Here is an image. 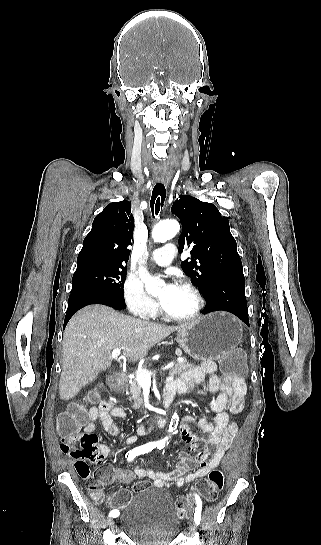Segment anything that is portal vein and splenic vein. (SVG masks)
Segmentation results:
<instances>
[{
  "instance_id": "obj_1",
  "label": "portal vein and splenic vein",
  "mask_w": 321,
  "mask_h": 545,
  "mask_svg": "<svg viewBox=\"0 0 321 545\" xmlns=\"http://www.w3.org/2000/svg\"><path fill=\"white\" fill-rule=\"evenodd\" d=\"M121 353V349H114L112 351V359H117ZM172 366H175L174 361H171V363H167V365H163V368H161V371L169 370V368H172ZM157 373H160V370H157ZM151 375L150 371H147V369H141L139 373L136 375V381L138 385H141V387H148V385H151Z\"/></svg>"
}]
</instances>
